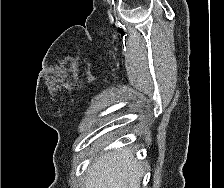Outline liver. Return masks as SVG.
Returning a JSON list of instances; mask_svg holds the SVG:
<instances>
[{"mask_svg": "<svg viewBox=\"0 0 224 188\" xmlns=\"http://www.w3.org/2000/svg\"><path fill=\"white\" fill-rule=\"evenodd\" d=\"M142 177V165L134 158L133 151L117 149L93 161L87 170L85 188H140Z\"/></svg>", "mask_w": 224, "mask_h": 188, "instance_id": "6515ba94", "label": "liver"}]
</instances>
